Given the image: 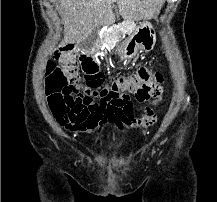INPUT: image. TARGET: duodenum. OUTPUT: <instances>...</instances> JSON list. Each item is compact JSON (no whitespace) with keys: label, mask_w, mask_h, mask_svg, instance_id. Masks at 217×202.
<instances>
[{"label":"duodenum","mask_w":217,"mask_h":202,"mask_svg":"<svg viewBox=\"0 0 217 202\" xmlns=\"http://www.w3.org/2000/svg\"><path fill=\"white\" fill-rule=\"evenodd\" d=\"M99 50V46H96L81 55L80 60L85 73L93 75L99 71V67L94 59V56L99 53Z\"/></svg>","instance_id":"duodenum-1"}]
</instances>
